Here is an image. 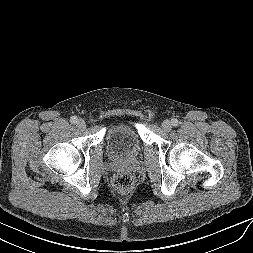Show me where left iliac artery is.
I'll return each mask as SVG.
<instances>
[{
	"instance_id": "left-iliac-artery-1",
	"label": "left iliac artery",
	"mask_w": 253,
	"mask_h": 253,
	"mask_svg": "<svg viewBox=\"0 0 253 253\" xmlns=\"http://www.w3.org/2000/svg\"><path fill=\"white\" fill-rule=\"evenodd\" d=\"M171 123L173 126H177L178 125V120L177 119H172Z\"/></svg>"
}]
</instances>
